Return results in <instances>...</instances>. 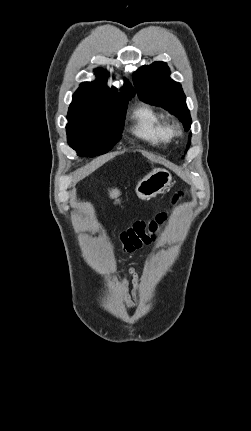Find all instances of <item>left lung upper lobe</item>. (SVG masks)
Wrapping results in <instances>:
<instances>
[{
	"label": "left lung upper lobe",
	"instance_id": "left-lung-upper-lobe-1",
	"mask_svg": "<svg viewBox=\"0 0 251 431\" xmlns=\"http://www.w3.org/2000/svg\"><path fill=\"white\" fill-rule=\"evenodd\" d=\"M169 75L170 69L166 63L154 62L139 68L133 75V81L139 97L144 102L168 110L178 117L185 131H188L192 120L186 105V96L181 85L173 81Z\"/></svg>",
	"mask_w": 251,
	"mask_h": 431
}]
</instances>
